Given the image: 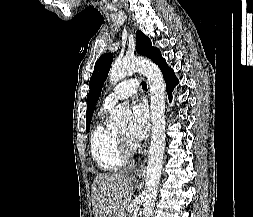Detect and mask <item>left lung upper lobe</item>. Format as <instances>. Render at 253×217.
Masks as SVG:
<instances>
[{"label":"left lung upper lobe","mask_w":253,"mask_h":217,"mask_svg":"<svg viewBox=\"0 0 253 217\" xmlns=\"http://www.w3.org/2000/svg\"><path fill=\"white\" fill-rule=\"evenodd\" d=\"M137 44L136 51L139 54L145 55L149 59L156 62L159 66L165 59L162 57L159 49L152 47L150 39L145 36L141 31L136 33ZM113 61V55L111 53H106L102 55L96 62L93 74L90 78L89 83V94L87 96V132H89L90 122L92 119L95 104L100 96L104 80L108 76L111 63Z\"/></svg>","instance_id":"obj_1"}]
</instances>
